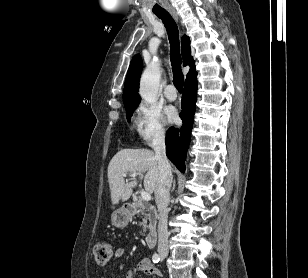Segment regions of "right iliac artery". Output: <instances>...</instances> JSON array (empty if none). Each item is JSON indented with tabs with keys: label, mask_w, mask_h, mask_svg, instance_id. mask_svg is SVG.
<instances>
[{
	"label": "right iliac artery",
	"mask_w": 308,
	"mask_h": 278,
	"mask_svg": "<svg viewBox=\"0 0 308 278\" xmlns=\"http://www.w3.org/2000/svg\"><path fill=\"white\" fill-rule=\"evenodd\" d=\"M152 260L154 263H158L160 261V257L157 253L152 256Z\"/></svg>",
	"instance_id": "1"
}]
</instances>
